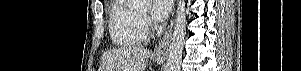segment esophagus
<instances>
[{
	"label": "esophagus",
	"mask_w": 301,
	"mask_h": 71,
	"mask_svg": "<svg viewBox=\"0 0 301 71\" xmlns=\"http://www.w3.org/2000/svg\"><path fill=\"white\" fill-rule=\"evenodd\" d=\"M173 19L171 20L167 30L164 33L163 38L160 40L157 47L154 49L153 56L157 59H163L166 57L170 39L172 35Z\"/></svg>",
	"instance_id": "obj_1"
}]
</instances>
